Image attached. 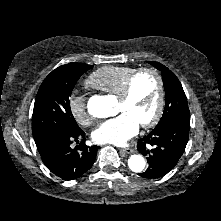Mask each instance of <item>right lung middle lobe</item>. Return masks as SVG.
Masks as SVG:
<instances>
[{
  "label": "right lung middle lobe",
  "mask_w": 221,
  "mask_h": 221,
  "mask_svg": "<svg viewBox=\"0 0 221 221\" xmlns=\"http://www.w3.org/2000/svg\"><path fill=\"white\" fill-rule=\"evenodd\" d=\"M92 67L73 62L56 68L45 78L34 104L33 136L50 131L75 132L80 129L72 115L69 97L80 76Z\"/></svg>",
  "instance_id": "obj_1"
}]
</instances>
